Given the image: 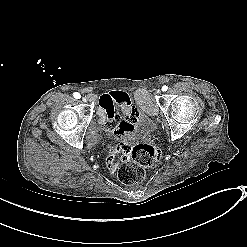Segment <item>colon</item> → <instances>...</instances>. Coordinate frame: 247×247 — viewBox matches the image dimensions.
I'll use <instances>...</instances> for the list:
<instances>
[{
	"label": "colon",
	"instance_id": "1",
	"mask_svg": "<svg viewBox=\"0 0 247 247\" xmlns=\"http://www.w3.org/2000/svg\"><path fill=\"white\" fill-rule=\"evenodd\" d=\"M160 159L159 148L151 142H143L127 148L122 154L118 178L127 185L138 184L145 173Z\"/></svg>",
	"mask_w": 247,
	"mask_h": 247
}]
</instances>
